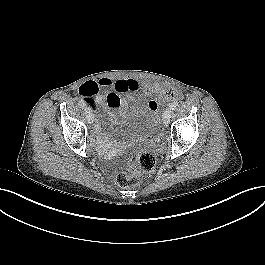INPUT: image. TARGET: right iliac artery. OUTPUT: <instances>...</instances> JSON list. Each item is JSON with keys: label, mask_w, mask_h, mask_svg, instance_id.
<instances>
[{"label": "right iliac artery", "mask_w": 265, "mask_h": 265, "mask_svg": "<svg viewBox=\"0 0 265 265\" xmlns=\"http://www.w3.org/2000/svg\"><path fill=\"white\" fill-rule=\"evenodd\" d=\"M78 104L83 108V109H85L86 110V103L84 102V101H82V100H80L79 102H78Z\"/></svg>", "instance_id": "1"}]
</instances>
